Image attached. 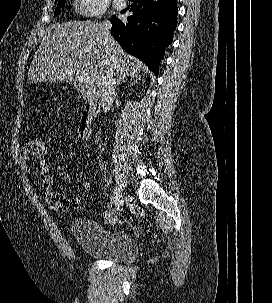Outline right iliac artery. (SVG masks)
I'll use <instances>...</instances> for the list:
<instances>
[{
    "label": "right iliac artery",
    "mask_w": 272,
    "mask_h": 303,
    "mask_svg": "<svg viewBox=\"0 0 272 303\" xmlns=\"http://www.w3.org/2000/svg\"><path fill=\"white\" fill-rule=\"evenodd\" d=\"M112 200H113V203H114L115 205H117L118 197L114 195V196L112 197Z\"/></svg>",
    "instance_id": "82829eb1"
}]
</instances>
